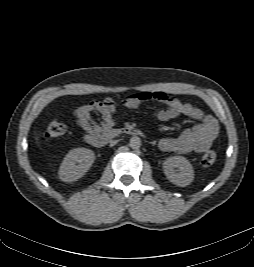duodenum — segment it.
<instances>
[{"label": "duodenum", "instance_id": "obj_1", "mask_svg": "<svg viewBox=\"0 0 254 267\" xmlns=\"http://www.w3.org/2000/svg\"><path fill=\"white\" fill-rule=\"evenodd\" d=\"M120 134L139 136L142 133L136 128L126 127L122 130H109L100 134H89L86 136V141L94 147L101 148L105 146L111 138H114Z\"/></svg>", "mask_w": 254, "mask_h": 267}]
</instances>
